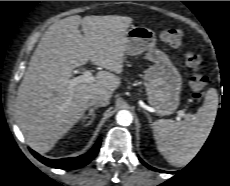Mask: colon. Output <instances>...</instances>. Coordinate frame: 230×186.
<instances>
[{
  "instance_id": "colon-1",
  "label": "colon",
  "mask_w": 230,
  "mask_h": 186,
  "mask_svg": "<svg viewBox=\"0 0 230 186\" xmlns=\"http://www.w3.org/2000/svg\"><path fill=\"white\" fill-rule=\"evenodd\" d=\"M160 38L166 44L178 47L182 44L183 34L178 29L169 28L160 33ZM185 60L187 65L193 71V75L190 80L192 96L194 99H200L208 81L207 63L198 53L194 51H187L185 53Z\"/></svg>"
}]
</instances>
